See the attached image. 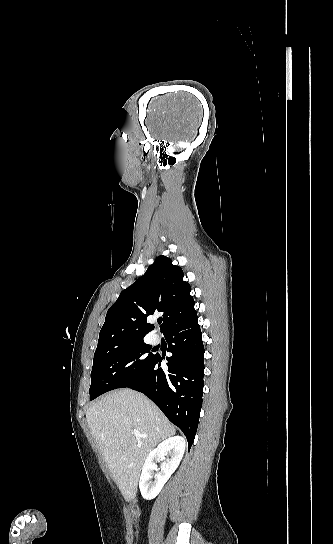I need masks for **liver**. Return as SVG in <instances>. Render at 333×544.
Returning a JSON list of instances; mask_svg holds the SVG:
<instances>
[{
    "label": "liver",
    "mask_w": 333,
    "mask_h": 544,
    "mask_svg": "<svg viewBox=\"0 0 333 544\" xmlns=\"http://www.w3.org/2000/svg\"><path fill=\"white\" fill-rule=\"evenodd\" d=\"M86 418L115 483L131 501L145 458L160 441L172 437L175 428L148 398L125 388L97 400ZM135 429L147 437H135Z\"/></svg>",
    "instance_id": "liver-1"
}]
</instances>
